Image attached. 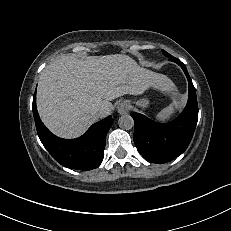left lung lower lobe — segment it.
Instances as JSON below:
<instances>
[{
    "label": "left lung lower lobe",
    "mask_w": 231,
    "mask_h": 231,
    "mask_svg": "<svg viewBox=\"0 0 231 231\" xmlns=\"http://www.w3.org/2000/svg\"><path fill=\"white\" fill-rule=\"evenodd\" d=\"M170 61L181 66L189 82V98L184 111L165 124L156 123L142 114L131 113L135 122L134 143L138 151L147 161L158 164L173 160L187 149L198 119L196 92L186 66L175 57Z\"/></svg>",
    "instance_id": "left-lung-lower-lobe-1"
}]
</instances>
